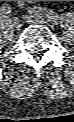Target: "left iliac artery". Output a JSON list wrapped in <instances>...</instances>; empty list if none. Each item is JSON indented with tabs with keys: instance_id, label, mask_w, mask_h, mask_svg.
<instances>
[{
	"instance_id": "1",
	"label": "left iliac artery",
	"mask_w": 74,
	"mask_h": 122,
	"mask_svg": "<svg viewBox=\"0 0 74 122\" xmlns=\"http://www.w3.org/2000/svg\"><path fill=\"white\" fill-rule=\"evenodd\" d=\"M30 12H33V13H35L37 15L44 16L45 18L48 19V21H50L53 24H57L58 21H59V16L55 12L49 11V10H47L45 8H42V7H38L36 9H32V10H30Z\"/></svg>"
}]
</instances>
